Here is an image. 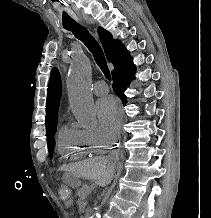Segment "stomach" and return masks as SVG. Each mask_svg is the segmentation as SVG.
<instances>
[{"label": "stomach", "instance_id": "stomach-1", "mask_svg": "<svg viewBox=\"0 0 211 218\" xmlns=\"http://www.w3.org/2000/svg\"><path fill=\"white\" fill-rule=\"evenodd\" d=\"M65 182L67 185L73 188H78L81 185L78 176L75 174H67L65 177Z\"/></svg>", "mask_w": 211, "mask_h": 218}]
</instances>
